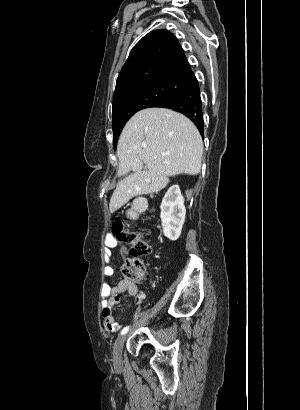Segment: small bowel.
<instances>
[{"instance_id":"1","label":"small bowel","mask_w":300,"mask_h":410,"mask_svg":"<svg viewBox=\"0 0 300 410\" xmlns=\"http://www.w3.org/2000/svg\"><path fill=\"white\" fill-rule=\"evenodd\" d=\"M105 245L108 248L117 247L118 243L112 235H108L105 239ZM121 254H125L124 248L120 249ZM115 272L114 265L109 260V264L105 268V275L111 277ZM139 279L136 280H120L115 286H110L107 282L103 284L101 294L105 298L102 302V317L107 329L111 332L119 328L118 323L113 315L114 307L120 302L121 294L127 293L130 296H135V306L139 307L145 297V294L138 289Z\"/></svg>"}]
</instances>
